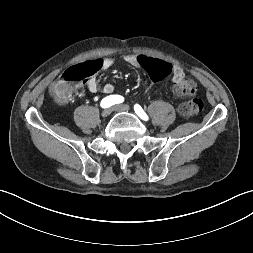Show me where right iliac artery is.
<instances>
[{"mask_svg":"<svg viewBox=\"0 0 253 253\" xmlns=\"http://www.w3.org/2000/svg\"><path fill=\"white\" fill-rule=\"evenodd\" d=\"M124 101V98L120 95H110L102 99L101 101V107L102 108H108L112 105L122 103Z\"/></svg>","mask_w":253,"mask_h":253,"instance_id":"obj_1","label":"right iliac artery"}]
</instances>
